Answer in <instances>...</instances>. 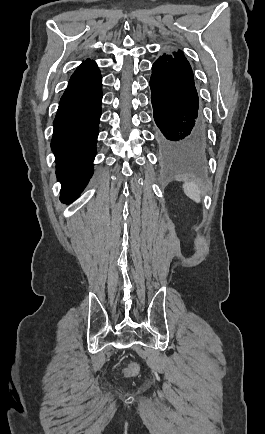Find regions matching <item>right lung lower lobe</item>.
<instances>
[{"label":"right lung lower lobe","mask_w":265,"mask_h":434,"mask_svg":"<svg viewBox=\"0 0 265 434\" xmlns=\"http://www.w3.org/2000/svg\"><path fill=\"white\" fill-rule=\"evenodd\" d=\"M101 82L96 63L87 59L71 76L59 103L51 148L64 203L74 201L92 176L101 116Z\"/></svg>","instance_id":"98d812e1"}]
</instances>
